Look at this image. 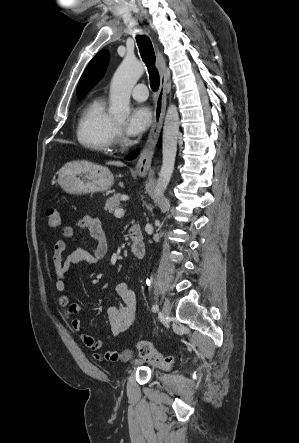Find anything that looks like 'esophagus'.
I'll return each instance as SVG.
<instances>
[{"label":"esophagus","mask_w":299,"mask_h":443,"mask_svg":"<svg viewBox=\"0 0 299 443\" xmlns=\"http://www.w3.org/2000/svg\"><path fill=\"white\" fill-rule=\"evenodd\" d=\"M157 65L160 73V87L155 103L152 127L135 167V170L138 173H147L151 168L153 154L161 133L165 115L167 100V72L165 60L160 51H157Z\"/></svg>","instance_id":"esophagus-1"}]
</instances>
